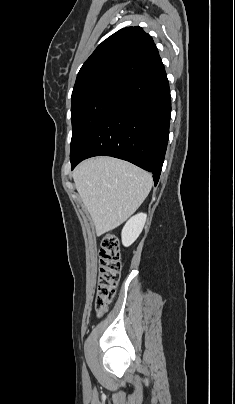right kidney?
I'll return each instance as SVG.
<instances>
[{
  "mask_svg": "<svg viewBox=\"0 0 235 404\" xmlns=\"http://www.w3.org/2000/svg\"><path fill=\"white\" fill-rule=\"evenodd\" d=\"M146 217V214L139 213L127 221L122 230V244L125 247L130 246L138 238L145 225Z\"/></svg>",
  "mask_w": 235,
  "mask_h": 404,
  "instance_id": "right-kidney-1",
  "label": "right kidney"
}]
</instances>
